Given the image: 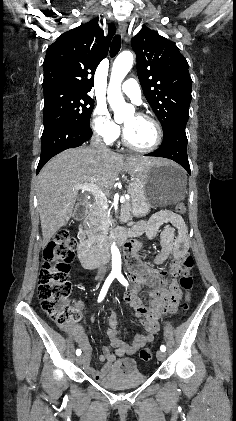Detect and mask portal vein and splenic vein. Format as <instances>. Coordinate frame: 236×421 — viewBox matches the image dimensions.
I'll use <instances>...</instances> for the list:
<instances>
[{"label": "portal vein and splenic vein", "mask_w": 236, "mask_h": 421, "mask_svg": "<svg viewBox=\"0 0 236 421\" xmlns=\"http://www.w3.org/2000/svg\"><path fill=\"white\" fill-rule=\"evenodd\" d=\"M73 188H76V190H88V192H91V194H94L99 204H102V206H108L107 198L104 192H102V190H100V188H98V186H96L94 182H84V184H74ZM124 200H125V196H120V202H124Z\"/></svg>", "instance_id": "portal-vein-and-splenic-vein-1"}]
</instances>
